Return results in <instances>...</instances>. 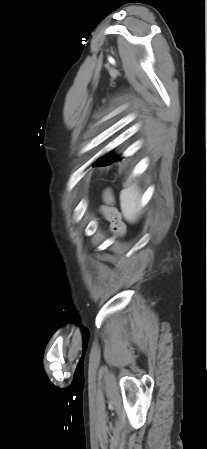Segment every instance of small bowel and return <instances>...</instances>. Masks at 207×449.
<instances>
[{"label":"small bowel","mask_w":207,"mask_h":449,"mask_svg":"<svg viewBox=\"0 0 207 449\" xmlns=\"http://www.w3.org/2000/svg\"><path fill=\"white\" fill-rule=\"evenodd\" d=\"M105 200L107 205L102 207V212L105 215V218L110 223L111 231L114 233H124L125 226L121 220L119 212L111 205L112 197L110 195H106Z\"/></svg>","instance_id":"1"}]
</instances>
